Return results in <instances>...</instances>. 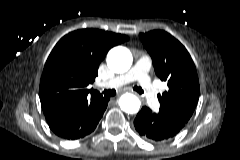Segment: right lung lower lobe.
<instances>
[{
    "mask_svg": "<svg viewBox=\"0 0 240 160\" xmlns=\"http://www.w3.org/2000/svg\"><path fill=\"white\" fill-rule=\"evenodd\" d=\"M108 98L98 97L90 100L80 108L65 111L54 120L49 121L50 129L60 138L75 140L90 134L103 116Z\"/></svg>",
    "mask_w": 240,
    "mask_h": 160,
    "instance_id": "1",
    "label": "right lung lower lobe"
}]
</instances>
